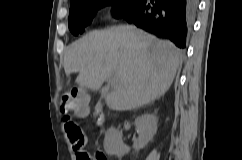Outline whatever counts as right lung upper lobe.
Instances as JSON below:
<instances>
[{"instance_id": "cb5924a9", "label": "right lung upper lobe", "mask_w": 242, "mask_h": 160, "mask_svg": "<svg viewBox=\"0 0 242 160\" xmlns=\"http://www.w3.org/2000/svg\"><path fill=\"white\" fill-rule=\"evenodd\" d=\"M78 1H81V0H71V4H74V3L78 2Z\"/></svg>"}]
</instances>
